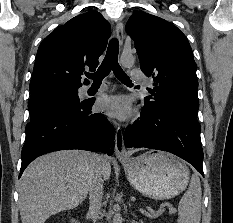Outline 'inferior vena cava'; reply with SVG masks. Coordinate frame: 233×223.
I'll list each match as a JSON object with an SVG mask.
<instances>
[{"label":"inferior vena cava","mask_w":233,"mask_h":223,"mask_svg":"<svg viewBox=\"0 0 233 223\" xmlns=\"http://www.w3.org/2000/svg\"><path fill=\"white\" fill-rule=\"evenodd\" d=\"M95 159L94 165H91V171L89 173L88 191L90 199V211L92 213L93 221L99 219V211L101 209V203L103 199V179L101 173V163L103 161V155L99 153H93Z\"/></svg>","instance_id":"inferior-vena-cava-1"}]
</instances>
